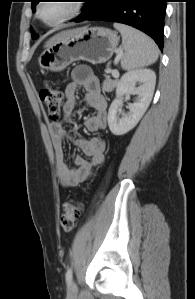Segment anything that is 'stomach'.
<instances>
[{"mask_svg":"<svg viewBox=\"0 0 195 299\" xmlns=\"http://www.w3.org/2000/svg\"><path fill=\"white\" fill-rule=\"evenodd\" d=\"M119 44L116 31L104 27L73 29L39 56L40 67L53 72L64 70L74 61L91 64L108 61Z\"/></svg>","mask_w":195,"mask_h":299,"instance_id":"stomach-1","label":"stomach"}]
</instances>
